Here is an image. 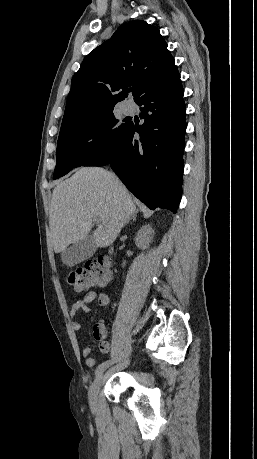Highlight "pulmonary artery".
Segmentation results:
<instances>
[{"instance_id": "1", "label": "pulmonary artery", "mask_w": 257, "mask_h": 459, "mask_svg": "<svg viewBox=\"0 0 257 459\" xmlns=\"http://www.w3.org/2000/svg\"><path fill=\"white\" fill-rule=\"evenodd\" d=\"M135 111V106L133 103H126L124 104L123 106V112L126 114V115H130V114H133Z\"/></svg>"}]
</instances>
